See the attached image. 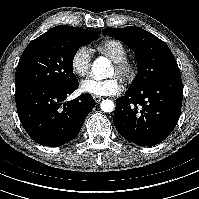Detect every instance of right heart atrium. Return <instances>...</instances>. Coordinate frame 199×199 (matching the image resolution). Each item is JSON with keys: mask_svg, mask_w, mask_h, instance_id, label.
Segmentation results:
<instances>
[{"mask_svg": "<svg viewBox=\"0 0 199 199\" xmlns=\"http://www.w3.org/2000/svg\"><path fill=\"white\" fill-rule=\"evenodd\" d=\"M91 53L86 47L78 48L71 57V71L77 77H85L90 69Z\"/></svg>", "mask_w": 199, "mask_h": 199, "instance_id": "obj_1", "label": "right heart atrium"}]
</instances>
